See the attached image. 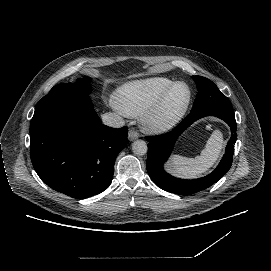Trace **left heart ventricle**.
I'll use <instances>...</instances> for the list:
<instances>
[{"label":"left heart ventricle","instance_id":"1","mask_svg":"<svg viewBox=\"0 0 271 271\" xmlns=\"http://www.w3.org/2000/svg\"><path fill=\"white\" fill-rule=\"evenodd\" d=\"M188 97L189 88L184 84L178 85L172 92L162 115L166 117L178 111L188 100Z\"/></svg>","mask_w":271,"mask_h":271}]
</instances>
